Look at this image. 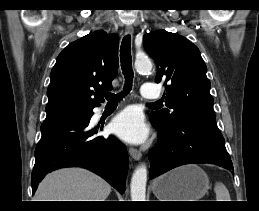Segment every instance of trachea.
I'll list each match as a JSON object with an SVG mask.
<instances>
[{
	"label": "trachea",
	"instance_id": "3493384b",
	"mask_svg": "<svg viewBox=\"0 0 259 211\" xmlns=\"http://www.w3.org/2000/svg\"><path fill=\"white\" fill-rule=\"evenodd\" d=\"M120 59H121V68L125 78L124 91L120 94H113L110 92H104L103 95L108 100V102H118L126 94H128L132 89V82L134 78V73L132 69V57H131V37L127 35L123 38L121 47H120ZM160 101H157L153 104H159Z\"/></svg>",
	"mask_w": 259,
	"mask_h": 211
}]
</instances>
